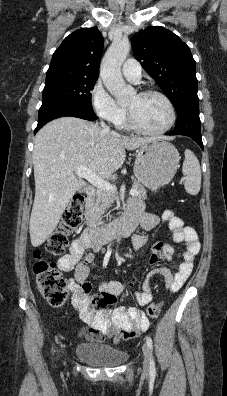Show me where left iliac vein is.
<instances>
[{
  "instance_id": "obj_1",
  "label": "left iliac vein",
  "mask_w": 227,
  "mask_h": 396,
  "mask_svg": "<svg viewBox=\"0 0 227 396\" xmlns=\"http://www.w3.org/2000/svg\"><path fill=\"white\" fill-rule=\"evenodd\" d=\"M143 354H144V361H143V370L145 373H148L150 370V351L149 347L144 344L143 345Z\"/></svg>"
}]
</instances>
